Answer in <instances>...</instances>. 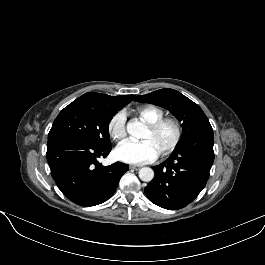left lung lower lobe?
Wrapping results in <instances>:
<instances>
[{"label": "left lung lower lobe", "instance_id": "0a47b994", "mask_svg": "<svg viewBox=\"0 0 265 265\" xmlns=\"http://www.w3.org/2000/svg\"><path fill=\"white\" fill-rule=\"evenodd\" d=\"M213 145L212 129L200 131L177 145L167 160L153 167L155 176L145 187L149 200L169 210L191 203L209 178Z\"/></svg>", "mask_w": 265, "mask_h": 265}]
</instances>
